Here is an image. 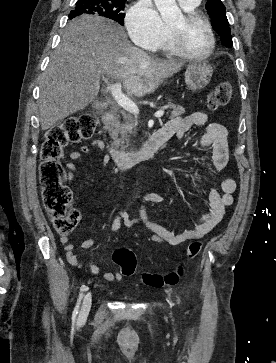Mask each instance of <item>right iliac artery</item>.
<instances>
[{
    "instance_id": "82829eb1",
    "label": "right iliac artery",
    "mask_w": 276,
    "mask_h": 363,
    "mask_svg": "<svg viewBox=\"0 0 276 363\" xmlns=\"http://www.w3.org/2000/svg\"><path fill=\"white\" fill-rule=\"evenodd\" d=\"M88 290V287L86 285H82L81 288H80V293H79V296H78V299H77V302H76V305H75V308L73 310V313H72V321L75 322L76 320V317H77V314L79 312V308H80V304H81V300L84 296V293Z\"/></svg>"
}]
</instances>
